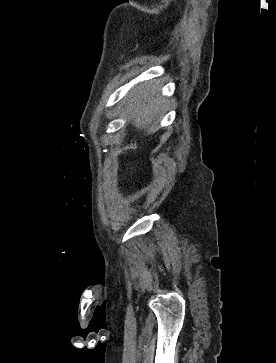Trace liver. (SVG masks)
<instances>
[{
  "label": "liver",
  "mask_w": 276,
  "mask_h": 363,
  "mask_svg": "<svg viewBox=\"0 0 276 363\" xmlns=\"http://www.w3.org/2000/svg\"><path fill=\"white\" fill-rule=\"evenodd\" d=\"M159 90L153 82H146L134 88L125 98L126 115L133 119L132 124L136 128L149 126L160 116L165 100Z\"/></svg>",
  "instance_id": "1"
}]
</instances>
